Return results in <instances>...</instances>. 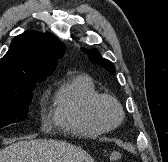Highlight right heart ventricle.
I'll use <instances>...</instances> for the list:
<instances>
[{"label":"right heart ventricle","mask_w":168,"mask_h":162,"mask_svg":"<svg viewBox=\"0 0 168 162\" xmlns=\"http://www.w3.org/2000/svg\"><path fill=\"white\" fill-rule=\"evenodd\" d=\"M98 95L93 79L86 74L68 75L58 87L53 108L54 122L81 136H96L108 129L95 119L91 104Z\"/></svg>","instance_id":"right-heart-ventricle-1"}]
</instances>
